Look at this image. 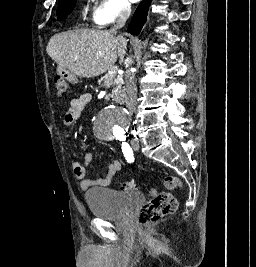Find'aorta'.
<instances>
[{"label": "aorta", "mask_w": 256, "mask_h": 267, "mask_svg": "<svg viewBox=\"0 0 256 267\" xmlns=\"http://www.w3.org/2000/svg\"><path fill=\"white\" fill-rule=\"evenodd\" d=\"M97 127H128L121 108H106L104 117H95ZM112 133H122V128H95V138H112Z\"/></svg>", "instance_id": "762f6f07"}]
</instances>
